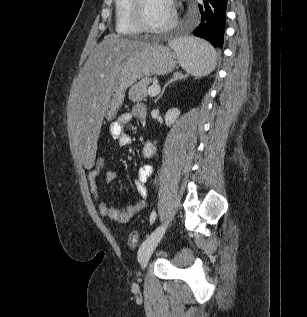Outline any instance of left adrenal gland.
Wrapping results in <instances>:
<instances>
[{"instance_id":"1","label":"left adrenal gland","mask_w":307,"mask_h":317,"mask_svg":"<svg viewBox=\"0 0 307 317\" xmlns=\"http://www.w3.org/2000/svg\"><path fill=\"white\" fill-rule=\"evenodd\" d=\"M187 77V75H183L182 73L176 72L173 74V77L164 85L160 95L155 99V103L162 98L166 88L168 87V85H170L173 82H176L178 80H182L185 79Z\"/></svg>"}]
</instances>
